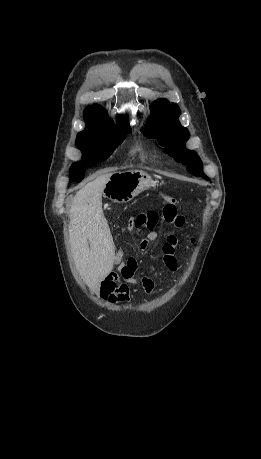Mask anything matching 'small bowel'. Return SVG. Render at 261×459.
<instances>
[{"instance_id":"c3829d8e","label":"small bowel","mask_w":261,"mask_h":459,"mask_svg":"<svg viewBox=\"0 0 261 459\" xmlns=\"http://www.w3.org/2000/svg\"><path fill=\"white\" fill-rule=\"evenodd\" d=\"M134 228L133 219L126 226L127 230ZM157 233L154 230L149 231L145 237L140 240V248L145 251L149 243L156 240ZM178 240L176 235L166 238V243L162 248V259L170 271H176L177 259L175 256ZM137 263L134 258H129L122 263L117 271L109 273L100 284V296L103 300L112 304H124L130 300V286H140L143 292L151 295L156 287L158 273L154 275H143L140 278L135 277Z\"/></svg>"}]
</instances>
